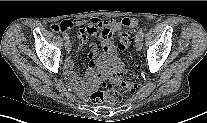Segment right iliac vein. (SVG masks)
Segmentation results:
<instances>
[{
    "label": "right iliac vein",
    "mask_w": 207,
    "mask_h": 123,
    "mask_svg": "<svg viewBox=\"0 0 207 123\" xmlns=\"http://www.w3.org/2000/svg\"><path fill=\"white\" fill-rule=\"evenodd\" d=\"M65 49L68 52L71 50V42H70L69 39H67L66 42H65Z\"/></svg>",
    "instance_id": "1"
}]
</instances>
